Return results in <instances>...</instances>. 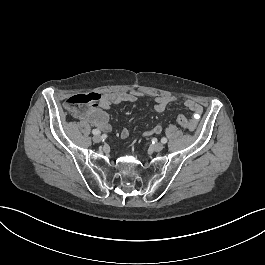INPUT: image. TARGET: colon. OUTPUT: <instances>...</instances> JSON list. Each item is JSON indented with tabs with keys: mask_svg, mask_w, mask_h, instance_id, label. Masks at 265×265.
<instances>
[{
	"mask_svg": "<svg viewBox=\"0 0 265 265\" xmlns=\"http://www.w3.org/2000/svg\"><path fill=\"white\" fill-rule=\"evenodd\" d=\"M97 100V93L95 91L89 90L82 95L76 94L73 96H65L63 98L62 104L65 109L76 111L81 108V105H95L97 103ZM178 123L184 129H190L193 126L192 121L184 115L178 117Z\"/></svg>",
	"mask_w": 265,
	"mask_h": 265,
	"instance_id": "obj_1",
	"label": "colon"
}]
</instances>
